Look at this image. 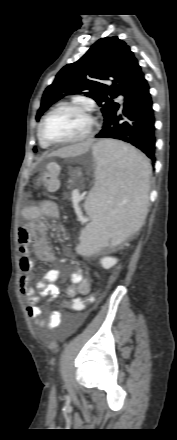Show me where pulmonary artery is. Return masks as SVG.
Masks as SVG:
<instances>
[{"label":"pulmonary artery","instance_id":"obj_1","mask_svg":"<svg viewBox=\"0 0 177 440\" xmlns=\"http://www.w3.org/2000/svg\"><path fill=\"white\" fill-rule=\"evenodd\" d=\"M118 101L121 103V104H123V98L120 96V97H118Z\"/></svg>","mask_w":177,"mask_h":440}]
</instances>
